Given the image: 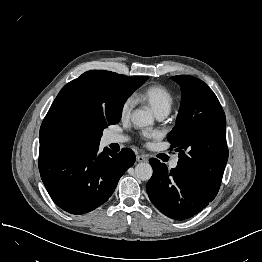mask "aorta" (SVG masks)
I'll return each mask as SVG.
<instances>
[{
	"mask_svg": "<svg viewBox=\"0 0 262 262\" xmlns=\"http://www.w3.org/2000/svg\"><path fill=\"white\" fill-rule=\"evenodd\" d=\"M132 123L137 127H147L153 124L154 119L151 112L143 109H136L132 113ZM153 170L149 163H139L135 167V177L141 181H148L152 176Z\"/></svg>",
	"mask_w": 262,
	"mask_h": 262,
	"instance_id": "aorta-1",
	"label": "aorta"
}]
</instances>
